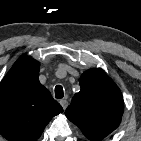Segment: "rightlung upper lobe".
I'll return each instance as SVG.
<instances>
[{
	"instance_id": "1",
	"label": "right lung upper lobe",
	"mask_w": 141,
	"mask_h": 141,
	"mask_svg": "<svg viewBox=\"0 0 141 141\" xmlns=\"http://www.w3.org/2000/svg\"><path fill=\"white\" fill-rule=\"evenodd\" d=\"M39 66L21 57L0 83V134L8 141H36L49 121L63 112L39 82Z\"/></svg>"
}]
</instances>
